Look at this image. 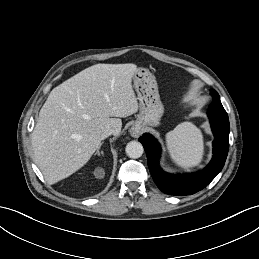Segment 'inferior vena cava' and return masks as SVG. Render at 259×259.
Returning a JSON list of instances; mask_svg holds the SVG:
<instances>
[{
    "instance_id": "obj_1",
    "label": "inferior vena cava",
    "mask_w": 259,
    "mask_h": 259,
    "mask_svg": "<svg viewBox=\"0 0 259 259\" xmlns=\"http://www.w3.org/2000/svg\"><path fill=\"white\" fill-rule=\"evenodd\" d=\"M115 131L112 129V128H107L106 130H104V132L101 134V138L102 139H105L107 138L108 136L114 134Z\"/></svg>"
}]
</instances>
